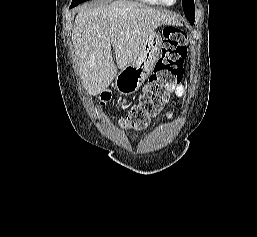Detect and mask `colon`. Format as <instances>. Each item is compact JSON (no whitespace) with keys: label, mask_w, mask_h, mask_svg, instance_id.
Here are the masks:
<instances>
[{"label":"colon","mask_w":257,"mask_h":237,"mask_svg":"<svg viewBox=\"0 0 257 237\" xmlns=\"http://www.w3.org/2000/svg\"><path fill=\"white\" fill-rule=\"evenodd\" d=\"M187 35L176 27H166L160 44L161 55L157 60L149 81L139 102L122 119L124 126L133 129L145 128L150 118L156 116L168 94L175 88L183 74V61L187 55ZM112 98L110 92H103L100 104L105 105Z\"/></svg>","instance_id":"colon-1"}]
</instances>
